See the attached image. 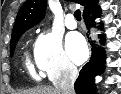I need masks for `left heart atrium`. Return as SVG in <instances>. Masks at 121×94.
<instances>
[{
    "mask_svg": "<svg viewBox=\"0 0 121 94\" xmlns=\"http://www.w3.org/2000/svg\"><path fill=\"white\" fill-rule=\"evenodd\" d=\"M66 47L69 57L75 63H82L88 54L84 38L79 33H70L66 39Z\"/></svg>",
    "mask_w": 121,
    "mask_h": 94,
    "instance_id": "39dd6f15",
    "label": "left heart atrium"
}]
</instances>
